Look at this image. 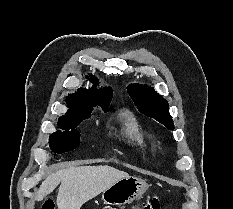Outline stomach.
I'll list each match as a JSON object with an SVG mask.
<instances>
[{
    "mask_svg": "<svg viewBox=\"0 0 233 209\" xmlns=\"http://www.w3.org/2000/svg\"><path fill=\"white\" fill-rule=\"evenodd\" d=\"M148 189L144 180L136 176L124 177L102 192V200L108 205H125L142 197Z\"/></svg>",
    "mask_w": 233,
    "mask_h": 209,
    "instance_id": "obj_1",
    "label": "stomach"
}]
</instances>
